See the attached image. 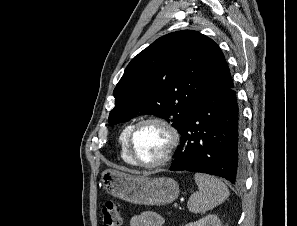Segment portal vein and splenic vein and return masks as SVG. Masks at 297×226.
<instances>
[{
  "label": "portal vein and splenic vein",
  "instance_id": "1",
  "mask_svg": "<svg viewBox=\"0 0 297 226\" xmlns=\"http://www.w3.org/2000/svg\"><path fill=\"white\" fill-rule=\"evenodd\" d=\"M179 204L178 203H174V208H178Z\"/></svg>",
  "mask_w": 297,
  "mask_h": 226
}]
</instances>
